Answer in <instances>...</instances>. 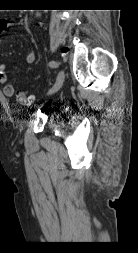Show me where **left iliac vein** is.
Here are the masks:
<instances>
[{"label":"left iliac vein","mask_w":138,"mask_h":253,"mask_svg":"<svg viewBox=\"0 0 138 253\" xmlns=\"http://www.w3.org/2000/svg\"><path fill=\"white\" fill-rule=\"evenodd\" d=\"M64 79H65V74H64V71L63 70H60L58 75H57V78H56V82L55 84L53 85V87H51L49 90H48V95H51V94H54L56 93L57 91L60 90V88L62 87L63 83H64Z\"/></svg>","instance_id":"left-iliac-vein-1"}]
</instances>
